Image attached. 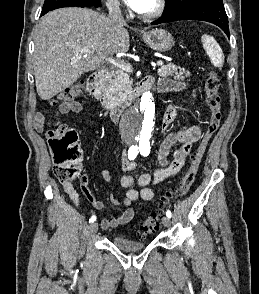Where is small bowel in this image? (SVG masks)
<instances>
[{"mask_svg": "<svg viewBox=\"0 0 259 294\" xmlns=\"http://www.w3.org/2000/svg\"><path fill=\"white\" fill-rule=\"evenodd\" d=\"M185 83L168 78L160 79L156 89L159 92H174L181 91L185 88ZM63 114L78 113L81 110V105L78 102L61 103L58 107ZM178 112V107L171 105L164 113L162 120L163 138L157 152V162L159 168L152 172H145L134 179L132 172L136 169V164L128 158V154L124 153L122 158V169L124 174L120 178V185L126 189L125 198L122 200L115 197L111 198L114 205H123L127 207L119 216L104 218L101 221V227L104 230L116 228L120 225L127 224L134 217V210L130 204L136 200L151 201L154 198V191L150 187L151 184H158L168 177L177 174L184 166L186 159L191 151L192 145L200 139L201 129L194 125L188 128L173 130L171 124L174 121ZM45 116L43 113H37L33 120V126L36 131H43ZM179 144L180 147L174 149V146ZM172 155V161H168V155ZM103 181L110 182L112 174L109 169L101 171ZM137 184L138 188L134 186ZM65 193L75 203H79V195L74 189L71 182L62 183ZM80 190L92 206L101 210L104 204L97 200L88 187V175L83 174L80 178Z\"/></svg>", "mask_w": 259, "mask_h": 294, "instance_id": "small-bowel-1", "label": "small bowel"}]
</instances>
